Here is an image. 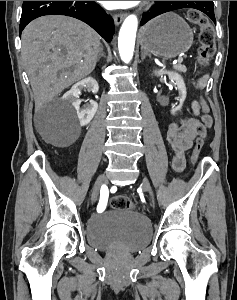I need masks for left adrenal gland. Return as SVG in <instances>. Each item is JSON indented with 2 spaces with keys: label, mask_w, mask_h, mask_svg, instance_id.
Listing matches in <instances>:
<instances>
[{
  "label": "left adrenal gland",
  "mask_w": 237,
  "mask_h": 300,
  "mask_svg": "<svg viewBox=\"0 0 237 300\" xmlns=\"http://www.w3.org/2000/svg\"><path fill=\"white\" fill-rule=\"evenodd\" d=\"M146 55H148L147 51L141 49V61H144V59H146ZM148 57H150V55H148Z\"/></svg>",
  "instance_id": "1"
}]
</instances>
